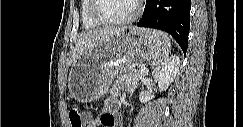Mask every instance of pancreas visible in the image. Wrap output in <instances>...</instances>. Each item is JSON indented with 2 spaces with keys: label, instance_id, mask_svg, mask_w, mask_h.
<instances>
[{
  "label": "pancreas",
  "instance_id": "pancreas-1",
  "mask_svg": "<svg viewBox=\"0 0 243 127\" xmlns=\"http://www.w3.org/2000/svg\"><path fill=\"white\" fill-rule=\"evenodd\" d=\"M144 76L140 69H133L131 71L125 72L119 76V80L125 85V89L128 92H133L139 82V80Z\"/></svg>",
  "mask_w": 243,
  "mask_h": 127
}]
</instances>
